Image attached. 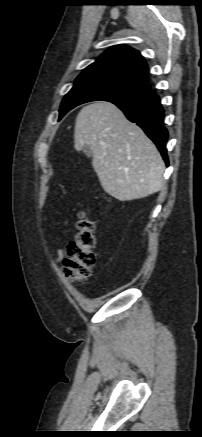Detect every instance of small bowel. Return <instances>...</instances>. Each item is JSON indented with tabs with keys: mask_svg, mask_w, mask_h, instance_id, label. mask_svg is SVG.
I'll return each mask as SVG.
<instances>
[{
	"mask_svg": "<svg viewBox=\"0 0 202 437\" xmlns=\"http://www.w3.org/2000/svg\"><path fill=\"white\" fill-rule=\"evenodd\" d=\"M62 258H63V249L59 247L57 249V256L55 257V261L60 262Z\"/></svg>",
	"mask_w": 202,
	"mask_h": 437,
	"instance_id": "obj_1",
	"label": "small bowel"
}]
</instances>
